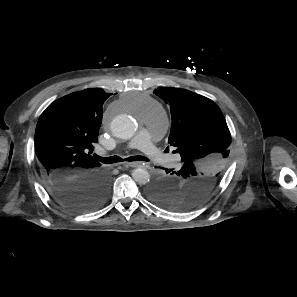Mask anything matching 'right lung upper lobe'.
<instances>
[{
	"label": "right lung upper lobe",
	"instance_id": "1",
	"mask_svg": "<svg viewBox=\"0 0 297 297\" xmlns=\"http://www.w3.org/2000/svg\"><path fill=\"white\" fill-rule=\"evenodd\" d=\"M110 95L100 88L86 89L45 109L35 131V153L42 175L60 172L79 177L99 170L100 163L91 153L102 122V106Z\"/></svg>",
	"mask_w": 297,
	"mask_h": 297
}]
</instances>
